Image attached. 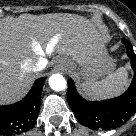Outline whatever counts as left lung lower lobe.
<instances>
[{
	"label": "left lung lower lobe",
	"instance_id": "0a47b994",
	"mask_svg": "<svg viewBox=\"0 0 136 136\" xmlns=\"http://www.w3.org/2000/svg\"><path fill=\"white\" fill-rule=\"evenodd\" d=\"M122 43L131 58L134 77L129 88L121 96L101 101H87L77 93L74 82L68 81L67 100L74 115L84 126L93 130L116 128L136 111V55L130 42L122 39Z\"/></svg>",
	"mask_w": 136,
	"mask_h": 136
}]
</instances>
